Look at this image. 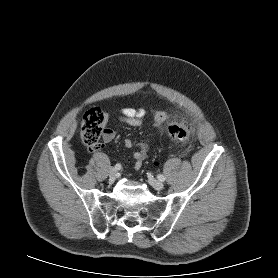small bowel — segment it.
Listing matches in <instances>:
<instances>
[{
    "mask_svg": "<svg viewBox=\"0 0 278 278\" xmlns=\"http://www.w3.org/2000/svg\"><path fill=\"white\" fill-rule=\"evenodd\" d=\"M146 111L143 108L126 107L120 110L118 119L129 125L135 127L143 126V118ZM167 113L162 110H156L153 112V122L155 126H160L167 119ZM109 116L105 117L103 140L108 143L115 138V131L109 126ZM124 146L126 148L132 147V141L130 139L124 140ZM148 150L145 146H142L134 153V168L139 169L142 166L143 161L146 159Z\"/></svg>",
    "mask_w": 278,
    "mask_h": 278,
    "instance_id": "obj_1",
    "label": "small bowel"
}]
</instances>
